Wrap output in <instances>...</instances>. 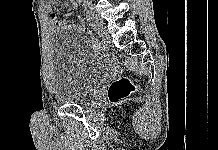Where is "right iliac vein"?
I'll return each instance as SVG.
<instances>
[{
    "instance_id": "obj_1",
    "label": "right iliac vein",
    "mask_w": 218,
    "mask_h": 150,
    "mask_svg": "<svg viewBox=\"0 0 218 150\" xmlns=\"http://www.w3.org/2000/svg\"><path fill=\"white\" fill-rule=\"evenodd\" d=\"M87 16L92 19L95 29L100 33L99 35L105 37L107 32L104 22L101 19L97 18L90 11H87Z\"/></svg>"
}]
</instances>
